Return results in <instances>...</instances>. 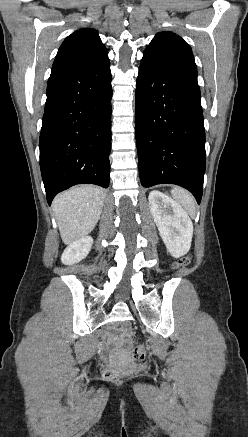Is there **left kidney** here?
<instances>
[{
    "label": "left kidney",
    "mask_w": 248,
    "mask_h": 437,
    "mask_svg": "<svg viewBox=\"0 0 248 437\" xmlns=\"http://www.w3.org/2000/svg\"><path fill=\"white\" fill-rule=\"evenodd\" d=\"M149 206L160 236L175 258L187 254L193 237V224L183 208L167 195L153 190Z\"/></svg>",
    "instance_id": "obj_1"
}]
</instances>
